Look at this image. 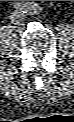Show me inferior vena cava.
<instances>
[{
    "label": "inferior vena cava",
    "instance_id": "obj_1",
    "mask_svg": "<svg viewBox=\"0 0 74 122\" xmlns=\"http://www.w3.org/2000/svg\"><path fill=\"white\" fill-rule=\"evenodd\" d=\"M17 17H19V18H17ZM23 19H24L23 14L16 15L14 12V14L12 15V22L15 24H18V25L21 24Z\"/></svg>",
    "mask_w": 74,
    "mask_h": 122
}]
</instances>
